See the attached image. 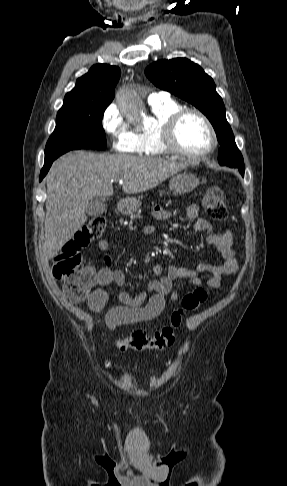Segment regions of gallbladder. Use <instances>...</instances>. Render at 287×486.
<instances>
[{
	"mask_svg": "<svg viewBox=\"0 0 287 486\" xmlns=\"http://www.w3.org/2000/svg\"><path fill=\"white\" fill-rule=\"evenodd\" d=\"M106 209L105 203L100 199H92L89 201L86 208V214L89 216H99L104 213Z\"/></svg>",
	"mask_w": 287,
	"mask_h": 486,
	"instance_id": "obj_1",
	"label": "gallbladder"
}]
</instances>
